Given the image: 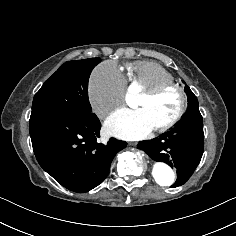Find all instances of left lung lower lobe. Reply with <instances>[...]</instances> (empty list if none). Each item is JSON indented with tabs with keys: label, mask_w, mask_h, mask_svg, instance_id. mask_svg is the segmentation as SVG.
Instances as JSON below:
<instances>
[{
	"label": "left lung lower lobe",
	"mask_w": 236,
	"mask_h": 236,
	"mask_svg": "<svg viewBox=\"0 0 236 236\" xmlns=\"http://www.w3.org/2000/svg\"><path fill=\"white\" fill-rule=\"evenodd\" d=\"M137 147L153 160L174 167L177 180L171 187L183 185L198 166L204 151L202 120L180 121L171 131L157 138L141 141Z\"/></svg>",
	"instance_id": "left-lung-lower-lobe-1"
}]
</instances>
